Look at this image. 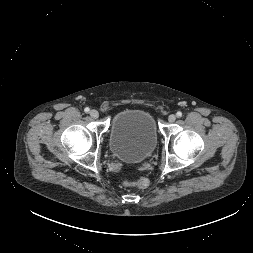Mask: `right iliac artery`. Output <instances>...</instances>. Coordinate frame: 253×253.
Masks as SVG:
<instances>
[{
    "label": "right iliac artery",
    "mask_w": 253,
    "mask_h": 253,
    "mask_svg": "<svg viewBox=\"0 0 253 253\" xmlns=\"http://www.w3.org/2000/svg\"><path fill=\"white\" fill-rule=\"evenodd\" d=\"M84 111H85L86 113H88V112L90 111V109H89L88 107H86V108L84 109Z\"/></svg>",
    "instance_id": "obj_1"
}]
</instances>
